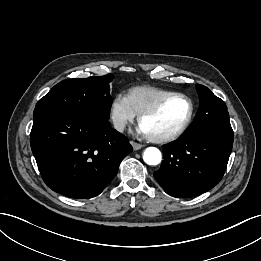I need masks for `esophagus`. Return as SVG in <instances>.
<instances>
[{
    "label": "esophagus",
    "instance_id": "34e87169",
    "mask_svg": "<svg viewBox=\"0 0 261 261\" xmlns=\"http://www.w3.org/2000/svg\"><path fill=\"white\" fill-rule=\"evenodd\" d=\"M130 143H131V145H132L134 150H139V149H141L143 147L142 144L134 142V141H131Z\"/></svg>",
    "mask_w": 261,
    "mask_h": 261
}]
</instances>
